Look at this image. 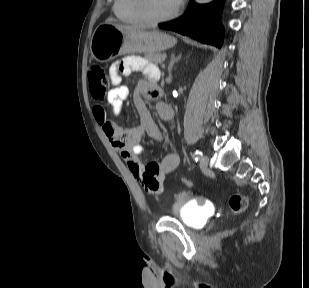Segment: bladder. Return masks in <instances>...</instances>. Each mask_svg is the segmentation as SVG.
Returning a JSON list of instances; mask_svg holds the SVG:
<instances>
[{
  "instance_id": "1",
  "label": "bladder",
  "mask_w": 309,
  "mask_h": 288,
  "mask_svg": "<svg viewBox=\"0 0 309 288\" xmlns=\"http://www.w3.org/2000/svg\"><path fill=\"white\" fill-rule=\"evenodd\" d=\"M170 207L181 222L194 230L204 227L211 214L208 205L193 201L184 193L177 194L172 199Z\"/></svg>"
}]
</instances>
